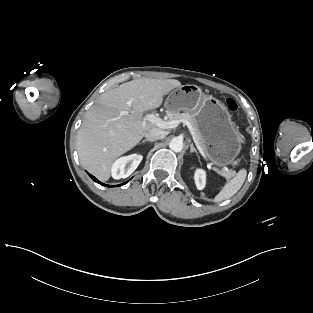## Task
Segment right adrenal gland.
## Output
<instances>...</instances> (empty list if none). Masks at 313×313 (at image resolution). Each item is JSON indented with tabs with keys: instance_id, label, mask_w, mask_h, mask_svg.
I'll return each instance as SVG.
<instances>
[{
	"instance_id": "1",
	"label": "right adrenal gland",
	"mask_w": 313,
	"mask_h": 313,
	"mask_svg": "<svg viewBox=\"0 0 313 313\" xmlns=\"http://www.w3.org/2000/svg\"><path fill=\"white\" fill-rule=\"evenodd\" d=\"M145 142H153V141L152 140H148V139L142 140V143H145Z\"/></svg>"
}]
</instances>
